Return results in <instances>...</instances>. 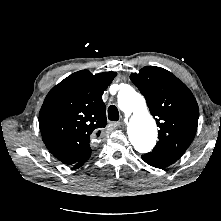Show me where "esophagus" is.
Here are the masks:
<instances>
[{
    "label": "esophagus",
    "instance_id": "1",
    "mask_svg": "<svg viewBox=\"0 0 221 221\" xmlns=\"http://www.w3.org/2000/svg\"><path fill=\"white\" fill-rule=\"evenodd\" d=\"M122 125V122H112L110 123V126L113 128L120 127Z\"/></svg>",
    "mask_w": 221,
    "mask_h": 221
}]
</instances>
